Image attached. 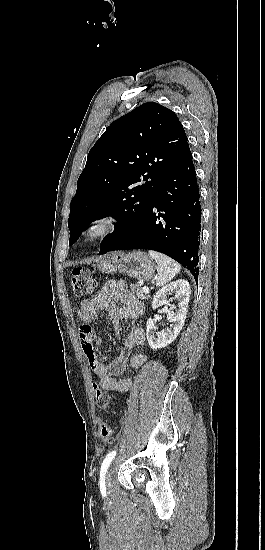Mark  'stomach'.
Wrapping results in <instances>:
<instances>
[{
    "label": "stomach",
    "instance_id": "stomach-1",
    "mask_svg": "<svg viewBox=\"0 0 265 550\" xmlns=\"http://www.w3.org/2000/svg\"><path fill=\"white\" fill-rule=\"evenodd\" d=\"M97 268L106 274L120 272L136 279L150 280L154 276L155 264L141 251L113 252L101 257Z\"/></svg>",
    "mask_w": 265,
    "mask_h": 550
}]
</instances>
